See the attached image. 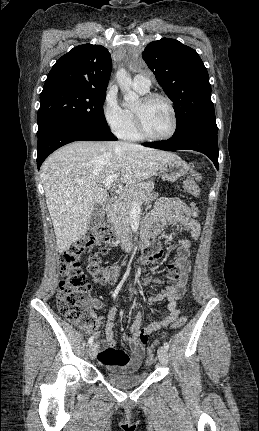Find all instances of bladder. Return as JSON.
Instances as JSON below:
<instances>
[{"instance_id": "obj_1", "label": "bladder", "mask_w": 259, "mask_h": 431, "mask_svg": "<svg viewBox=\"0 0 259 431\" xmlns=\"http://www.w3.org/2000/svg\"><path fill=\"white\" fill-rule=\"evenodd\" d=\"M104 375L108 380L119 386H130L146 380L147 371H133L125 369H106Z\"/></svg>"}]
</instances>
